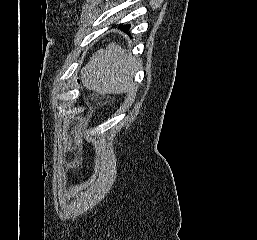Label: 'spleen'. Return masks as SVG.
Masks as SVG:
<instances>
[{
	"mask_svg": "<svg viewBox=\"0 0 257 240\" xmlns=\"http://www.w3.org/2000/svg\"><path fill=\"white\" fill-rule=\"evenodd\" d=\"M138 67L137 60L112 43L106 50L98 51L85 67V81L99 93H127L136 89L133 77Z\"/></svg>",
	"mask_w": 257,
	"mask_h": 240,
	"instance_id": "3e777b00",
	"label": "spleen"
}]
</instances>
